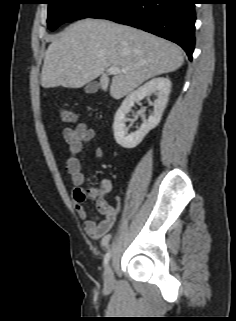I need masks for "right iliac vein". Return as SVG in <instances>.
<instances>
[{
  "label": "right iliac vein",
  "instance_id": "obj_1",
  "mask_svg": "<svg viewBox=\"0 0 236 321\" xmlns=\"http://www.w3.org/2000/svg\"><path fill=\"white\" fill-rule=\"evenodd\" d=\"M114 282L113 271L110 265H107L104 272V283L106 287H111Z\"/></svg>",
  "mask_w": 236,
  "mask_h": 321
}]
</instances>
